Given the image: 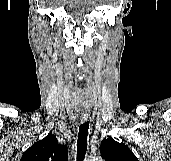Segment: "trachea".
I'll use <instances>...</instances> for the list:
<instances>
[{
  "instance_id": "obj_1",
  "label": "trachea",
  "mask_w": 171,
  "mask_h": 161,
  "mask_svg": "<svg viewBox=\"0 0 171 161\" xmlns=\"http://www.w3.org/2000/svg\"><path fill=\"white\" fill-rule=\"evenodd\" d=\"M89 131V123L84 122L79 126L78 139H77V161H81L87 150V137Z\"/></svg>"
}]
</instances>
